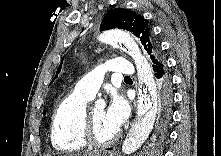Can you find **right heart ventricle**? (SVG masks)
Instances as JSON below:
<instances>
[{"instance_id":"right-heart-ventricle-1","label":"right heart ventricle","mask_w":221,"mask_h":156,"mask_svg":"<svg viewBox=\"0 0 221 156\" xmlns=\"http://www.w3.org/2000/svg\"><path fill=\"white\" fill-rule=\"evenodd\" d=\"M91 98L74 89L55 109L51 122L52 146L59 152H77L86 147L81 126L86 105Z\"/></svg>"}]
</instances>
